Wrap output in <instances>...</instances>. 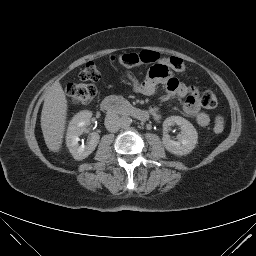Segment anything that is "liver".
Returning <instances> with one entry per match:
<instances>
[{
    "mask_svg": "<svg viewBox=\"0 0 256 256\" xmlns=\"http://www.w3.org/2000/svg\"><path fill=\"white\" fill-rule=\"evenodd\" d=\"M67 99L61 84L56 81L50 87L41 112V129L45 143L52 152H59L67 118Z\"/></svg>",
    "mask_w": 256,
    "mask_h": 256,
    "instance_id": "obj_1",
    "label": "liver"
}]
</instances>
